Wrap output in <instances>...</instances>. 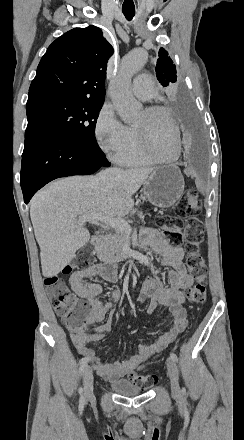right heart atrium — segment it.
Instances as JSON below:
<instances>
[{
	"instance_id": "obj_1",
	"label": "right heart atrium",
	"mask_w": 244,
	"mask_h": 440,
	"mask_svg": "<svg viewBox=\"0 0 244 440\" xmlns=\"http://www.w3.org/2000/svg\"><path fill=\"white\" fill-rule=\"evenodd\" d=\"M95 138L101 149L111 158L117 152H126L135 148L136 139L132 128L125 125L110 104H105L96 119Z\"/></svg>"
}]
</instances>
